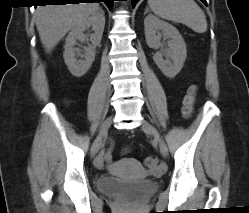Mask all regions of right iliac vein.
I'll return each instance as SVG.
<instances>
[{
    "label": "right iliac vein",
    "mask_w": 249,
    "mask_h": 213,
    "mask_svg": "<svg viewBox=\"0 0 249 213\" xmlns=\"http://www.w3.org/2000/svg\"><path fill=\"white\" fill-rule=\"evenodd\" d=\"M113 118L108 117L102 124L98 136L96 137L92 147H91V156H94L100 149L101 142L103 137L107 134L108 129L112 124Z\"/></svg>",
    "instance_id": "obj_1"
}]
</instances>
